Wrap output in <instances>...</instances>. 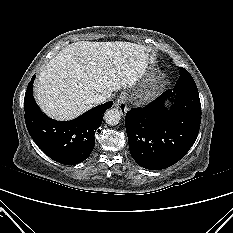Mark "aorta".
Instances as JSON below:
<instances>
[{
  "label": "aorta",
  "mask_w": 233,
  "mask_h": 233,
  "mask_svg": "<svg viewBox=\"0 0 233 233\" xmlns=\"http://www.w3.org/2000/svg\"><path fill=\"white\" fill-rule=\"evenodd\" d=\"M104 119L108 125L114 126L120 122L121 114L118 109L111 108L105 112Z\"/></svg>",
  "instance_id": "aorta-1"
}]
</instances>
